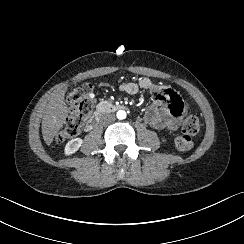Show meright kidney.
Wrapping results in <instances>:
<instances>
[{
	"instance_id": "obj_1",
	"label": "right kidney",
	"mask_w": 244,
	"mask_h": 244,
	"mask_svg": "<svg viewBox=\"0 0 244 244\" xmlns=\"http://www.w3.org/2000/svg\"><path fill=\"white\" fill-rule=\"evenodd\" d=\"M82 144H83L82 138H74L68 141L64 147V151H63L64 156L68 157L70 155H73L81 148Z\"/></svg>"
}]
</instances>
